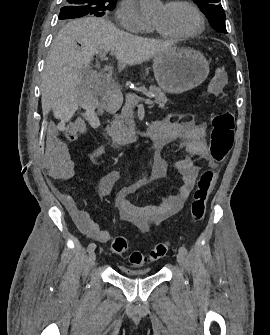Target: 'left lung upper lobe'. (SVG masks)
<instances>
[{
	"instance_id": "5c2ea615",
	"label": "left lung upper lobe",
	"mask_w": 270,
	"mask_h": 335,
	"mask_svg": "<svg viewBox=\"0 0 270 335\" xmlns=\"http://www.w3.org/2000/svg\"><path fill=\"white\" fill-rule=\"evenodd\" d=\"M193 1L208 18L210 25L215 31L227 34L225 26V13L221 4H218L220 0Z\"/></svg>"
}]
</instances>
